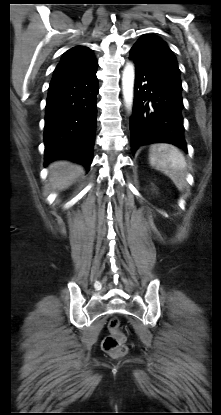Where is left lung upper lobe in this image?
Here are the masks:
<instances>
[{
	"mask_svg": "<svg viewBox=\"0 0 221 415\" xmlns=\"http://www.w3.org/2000/svg\"><path fill=\"white\" fill-rule=\"evenodd\" d=\"M130 57L182 86L176 57L161 38L142 36L131 48Z\"/></svg>",
	"mask_w": 221,
	"mask_h": 415,
	"instance_id": "1",
	"label": "left lung upper lobe"
}]
</instances>
